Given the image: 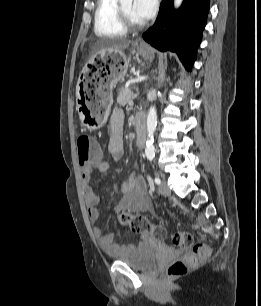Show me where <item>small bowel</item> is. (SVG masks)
I'll use <instances>...</instances> for the list:
<instances>
[{"mask_svg":"<svg viewBox=\"0 0 261 306\" xmlns=\"http://www.w3.org/2000/svg\"><path fill=\"white\" fill-rule=\"evenodd\" d=\"M124 112L121 108H115L110 116L108 131L110 134L107 150L111 159L115 162L124 156L123 125ZM110 168V163L106 160L92 163L81 170V186L87 212L91 222L96 223L101 216L97 205L98 195L92 187V174L94 172L103 173ZM123 198L116 209H127L134 212H147L149 203L146 199L147 186L144 178L136 172H132L129 179L120 184ZM94 234L102 249L108 253H123L132 248L131 245H120L115 242L114 234H105L102 227L94 226Z\"/></svg>","mask_w":261,"mask_h":306,"instance_id":"c3829d8e","label":"small bowel"}]
</instances>
